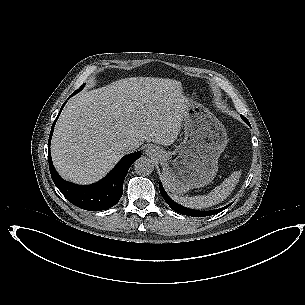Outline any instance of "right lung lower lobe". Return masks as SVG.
<instances>
[{"instance_id":"obj_1","label":"right lung lower lobe","mask_w":305,"mask_h":305,"mask_svg":"<svg viewBox=\"0 0 305 305\" xmlns=\"http://www.w3.org/2000/svg\"><path fill=\"white\" fill-rule=\"evenodd\" d=\"M73 95L74 93L71 96ZM65 103L61 107L58 116L60 115ZM56 120L53 123L48 141L49 169L56 187L72 204L81 209L100 211L113 207L123 194V182L130 166L140 158L141 152H135L124 156L110 171V173L97 183L80 186L66 182L56 172L50 154V140Z\"/></svg>"}]
</instances>
